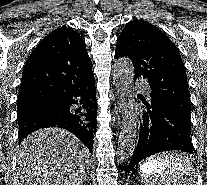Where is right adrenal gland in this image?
I'll return each mask as SVG.
<instances>
[{
	"label": "right adrenal gland",
	"mask_w": 207,
	"mask_h": 185,
	"mask_svg": "<svg viewBox=\"0 0 207 185\" xmlns=\"http://www.w3.org/2000/svg\"><path fill=\"white\" fill-rule=\"evenodd\" d=\"M82 185H89V181H88V179H83V183H82Z\"/></svg>",
	"instance_id": "obj_1"
}]
</instances>
